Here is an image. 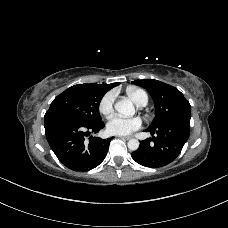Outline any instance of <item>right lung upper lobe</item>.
Listing matches in <instances>:
<instances>
[{
  "instance_id": "cb5924a9",
  "label": "right lung upper lobe",
  "mask_w": 228,
  "mask_h": 228,
  "mask_svg": "<svg viewBox=\"0 0 228 228\" xmlns=\"http://www.w3.org/2000/svg\"><path fill=\"white\" fill-rule=\"evenodd\" d=\"M119 83H111V84H105V85H102L101 84V87L103 89H105L106 91L110 90L111 88L117 86Z\"/></svg>"
}]
</instances>
